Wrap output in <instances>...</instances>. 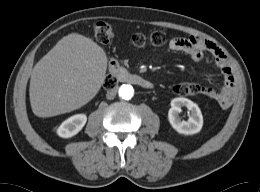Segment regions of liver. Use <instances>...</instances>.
<instances>
[{
    "label": "liver",
    "mask_w": 260,
    "mask_h": 192,
    "mask_svg": "<svg viewBox=\"0 0 260 192\" xmlns=\"http://www.w3.org/2000/svg\"><path fill=\"white\" fill-rule=\"evenodd\" d=\"M107 62L105 51L92 39L78 33L64 36L33 68V113L51 117L87 104L105 80Z\"/></svg>",
    "instance_id": "obj_1"
}]
</instances>
